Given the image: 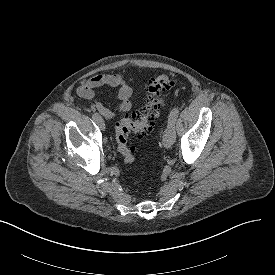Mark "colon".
<instances>
[{
    "label": "colon",
    "instance_id": "colon-1",
    "mask_svg": "<svg viewBox=\"0 0 275 275\" xmlns=\"http://www.w3.org/2000/svg\"><path fill=\"white\" fill-rule=\"evenodd\" d=\"M174 86V81L166 74L153 76L147 84L145 100L135 113L122 118L115 124L117 149L126 165L135 162V150L128 145L131 135L144 137L149 134L163 105V96Z\"/></svg>",
    "mask_w": 275,
    "mask_h": 275
}]
</instances>
